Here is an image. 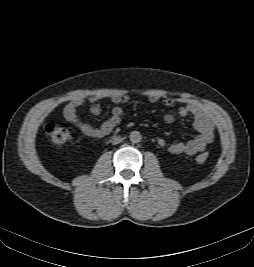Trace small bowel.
I'll list each match as a JSON object with an SVG mask.
<instances>
[{
    "label": "small bowel",
    "mask_w": 254,
    "mask_h": 267,
    "mask_svg": "<svg viewBox=\"0 0 254 267\" xmlns=\"http://www.w3.org/2000/svg\"><path fill=\"white\" fill-rule=\"evenodd\" d=\"M129 101V97L126 95H119L112 98V102L116 104L111 111L110 117L104 121L100 126H93L83 121L77 114V109L83 105V99H74L67 103L63 109L64 117L67 121L73 124L83 135L101 139L107 136L116 128L123 118V109L121 104H125ZM149 101L151 103H160L163 105L167 112L164 115V121L172 123L176 115L180 117H191L193 119L194 128L198 134L187 142H176L169 146V151L173 154H185L194 155L198 152L205 151L208 145L214 138V124L211 118L197 105L187 104L175 109V103L168 97L150 96ZM90 111L94 115H98L101 111L99 102L96 99L90 100ZM159 145L164 146L165 141L163 139L158 140Z\"/></svg>",
    "instance_id": "1"
}]
</instances>
